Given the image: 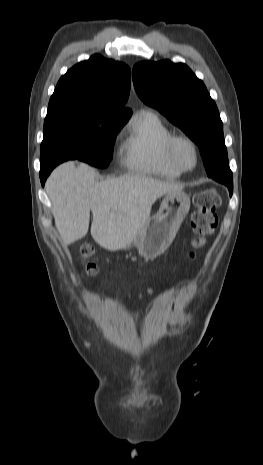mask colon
<instances>
[{
	"label": "colon",
	"instance_id": "obj_1",
	"mask_svg": "<svg viewBox=\"0 0 263 465\" xmlns=\"http://www.w3.org/2000/svg\"><path fill=\"white\" fill-rule=\"evenodd\" d=\"M193 203L195 210L191 216V228L196 237L192 242L194 250L190 253L191 257H194L195 250L205 245L206 237L212 234L217 226L218 219L215 210L220 204V197L215 189L209 188L195 194ZM92 253L93 250L89 245L81 247V258L86 261L85 269L89 274L96 273L98 269L94 262L87 261Z\"/></svg>",
	"mask_w": 263,
	"mask_h": 465
}]
</instances>
